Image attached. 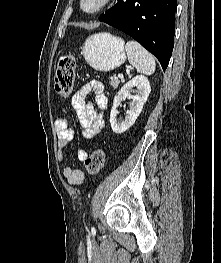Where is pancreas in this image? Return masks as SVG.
<instances>
[{
  "label": "pancreas",
  "instance_id": "obj_1",
  "mask_svg": "<svg viewBox=\"0 0 221 263\" xmlns=\"http://www.w3.org/2000/svg\"><path fill=\"white\" fill-rule=\"evenodd\" d=\"M109 80H110V85H111L114 89H116V88L118 87V85L120 84V80H119L118 77H116L115 75L109 77Z\"/></svg>",
  "mask_w": 221,
  "mask_h": 263
}]
</instances>
